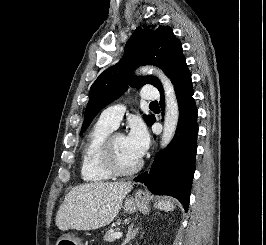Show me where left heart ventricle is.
<instances>
[{
	"label": "left heart ventricle",
	"instance_id": "obj_1",
	"mask_svg": "<svg viewBox=\"0 0 266 245\" xmlns=\"http://www.w3.org/2000/svg\"><path fill=\"white\" fill-rule=\"evenodd\" d=\"M112 151L115 163L121 170H129L138 162V160H136L128 151L124 137L121 135L114 137Z\"/></svg>",
	"mask_w": 266,
	"mask_h": 245
}]
</instances>
